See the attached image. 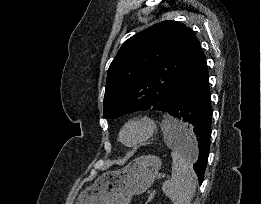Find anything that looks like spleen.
Returning a JSON list of instances; mask_svg holds the SVG:
<instances>
[{
  "label": "spleen",
  "mask_w": 261,
  "mask_h": 204,
  "mask_svg": "<svg viewBox=\"0 0 261 204\" xmlns=\"http://www.w3.org/2000/svg\"><path fill=\"white\" fill-rule=\"evenodd\" d=\"M186 130V124L172 119L164 126L167 144L172 147L178 133ZM171 156L173 160L172 177L163 183L162 191L173 204H191L196 191V174L176 148H173Z\"/></svg>",
  "instance_id": "spleen-1"
}]
</instances>
